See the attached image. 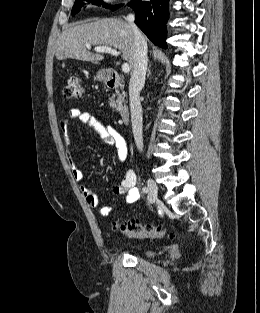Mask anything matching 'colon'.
Listing matches in <instances>:
<instances>
[{"mask_svg":"<svg viewBox=\"0 0 260 313\" xmlns=\"http://www.w3.org/2000/svg\"><path fill=\"white\" fill-rule=\"evenodd\" d=\"M63 94L64 97L69 99H79L83 97L84 88L82 79L79 76L70 77L64 86ZM112 225L114 229L119 230L125 235L133 238L161 239L167 235L164 227L160 225H142L136 221L129 223L114 221Z\"/></svg>","mask_w":260,"mask_h":313,"instance_id":"colon-1","label":"colon"}]
</instances>
